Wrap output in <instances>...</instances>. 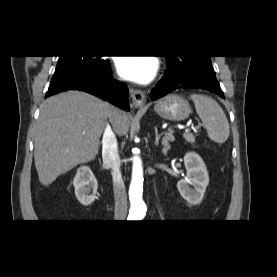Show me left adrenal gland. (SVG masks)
I'll list each match as a JSON object with an SVG mask.
<instances>
[{
	"instance_id": "1",
	"label": "left adrenal gland",
	"mask_w": 277,
	"mask_h": 277,
	"mask_svg": "<svg viewBox=\"0 0 277 277\" xmlns=\"http://www.w3.org/2000/svg\"><path fill=\"white\" fill-rule=\"evenodd\" d=\"M155 145L158 146L159 145V140L162 136V134H158L157 128L155 127ZM170 135L166 134V136L163 138L162 144L164 146V149H167V144L168 141L170 140Z\"/></svg>"
}]
</instances>
